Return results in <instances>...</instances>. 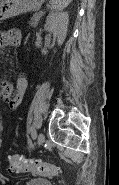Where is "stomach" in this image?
<instances>
[{
	"mask_svg": "<svg viewBox=\"0 0 119 185\" xmlns=\"http://www.w3.org/2000/svg\"><path fill=\"white\" fill-rule=\"evenodd\" d=\"M45 0H0V21L25 12L37 11Z\"/></svg>",
	"mask_w": 119,
	"mask_h": 185,
	"instance_id": "stomach-1",
	"label": "stomach"
}]
</instances>
